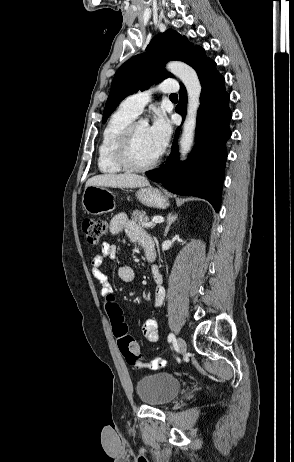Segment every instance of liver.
<instances>
[{"label":"liver","mask_w":294,"mask_h":462,"mask_svg":"<svg viewBox=\"0 0 294 462\" xmlns=\"http://www.w3.org/2000/svg\"><path fill=\"white\" fill-rule=\"evenodd\" d=\"M92 185L114 188H136L149 186V181L146 177L136 174H102L88 179L85 188Z\"/></svg>","instance_id":"liver-1"}]
</instances>
